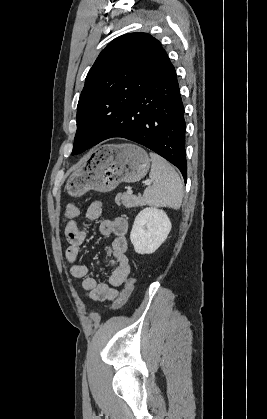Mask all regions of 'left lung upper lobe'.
<instances>
[{
    "instance_id": "left-lung-upper-lobe-1",
    "label": "left lung upper lobe",
    "mask_w": 267,
    "mask_h": 419,
    "mask_svg": "<svg viewBox=\"0 0 267 419\" xmlns=\"http://www.w3.org/2000/svg\"><path fill=\"white\" fill-rule=\"evenodd\" d=\"M167 57L161 43L147 33L125 34L106 46L79 98L72 155L90 148L101 125L125 112Z\"/></svg>"
}]
</instances>
